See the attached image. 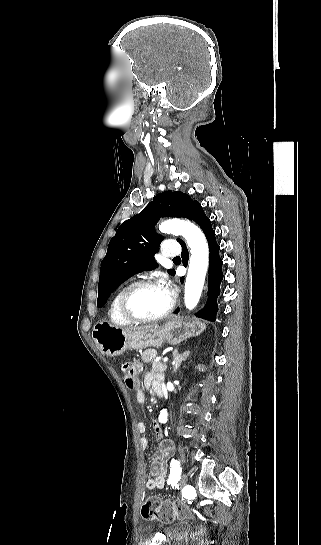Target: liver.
<instances>
[{
	"mask_svg": "<svg viewBox=\"0 0 321 545\" xmlns=\"http://www.w3.org/2000/svg\"><path fill=\"white\" fill-rule=\"evenodd\" d=\"M157 325H146V327H138V329H122L124 333H128V331H145V329H156Z\"/></svg>",
	"mask_w": 321,
	"mask_h": 545,
	"instance_id": "liver-1",
	"label": "liver"
}]
</instances>
